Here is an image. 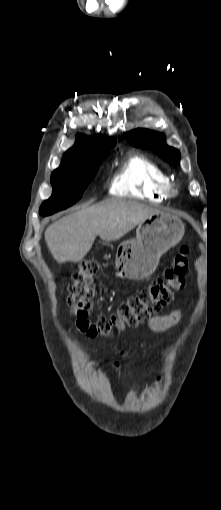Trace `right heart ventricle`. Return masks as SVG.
<instances>
[{
  "instance_id": "1",
  "label": "right heart ventricle",
  "mask_w": 221,
  "mask_h": 510,
  "mask_svg": "<svg viewBox=\"0 0 221 510\" xmlns=\"http://www.w3.org/2000/svg\"><path fill=\"white\" fill-rule=\"evenodd\" d=\"M169 182L168 175L157 163L142 154H133L114 176L109 191L114 196L160 203L168 197L165 188Z\"/></svg>"
}]
</instances>
